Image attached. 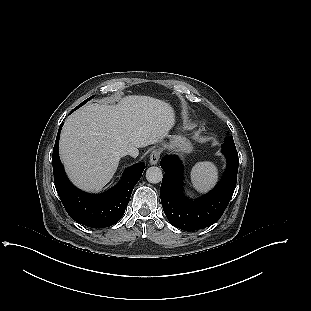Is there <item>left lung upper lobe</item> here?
I'll return each mask as SVG.
<instances>
[{
    "label": "left lung upper lobe",
    "instance_id": "5c2ea615",
    "mask_svg": "<svg viewBox=\"0 0 311 311\" xmlns=\"http://www.w3.org/2000/svg\"><path fill=\"white\" fill-rule=\"evenodd\" d=\"M222 149L229 150V151H236V147H235L232 136L225 138L224 143L222 144Z\"/></svg>",
    "mask_w": 311,
    "mask_h": 311
}]
</instances>
